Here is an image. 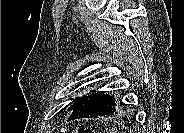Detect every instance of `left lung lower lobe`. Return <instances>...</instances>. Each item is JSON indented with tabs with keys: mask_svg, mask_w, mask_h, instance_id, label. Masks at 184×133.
<instances>
[{
	"mask_svg": "<svg viewBox=\"0 0 184 133\" xmlns=\"http://www.w3.org/2000/svg\"><path fill=\"white\" fill-rule=\"evenodd\" d=\"M123 102L116 101L114 95H105L104 92H92L86 96L72 111L68 121L81 118H94L98 116H120V122L133 128L135 121L131 112L124 111Z\"/></svg>",
	"mask_w": 184,
	"mask_h": 133,
	"instance_id": "0a47b994",
	"label": "left lung lower lobe"
}]
</instances>
